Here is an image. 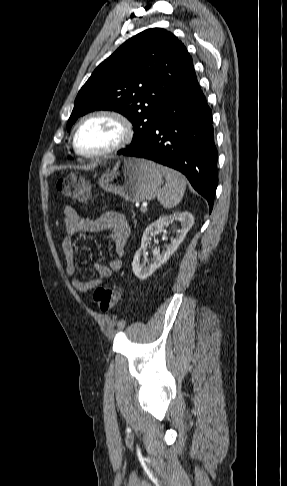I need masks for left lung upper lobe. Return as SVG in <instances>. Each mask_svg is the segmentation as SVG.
<instances>
[{
    "mask_svg": "<svg viewBox=\"0 0 287 486\" xmlns=\"http://www.w3.org/2000/svg\"><path fill=\"white\" fill-rule=\"evenodd\" d=\"M194 74L192 58L182 42L164 29H147L128 39L94 70L75 99L67 129L88 112L114 110L133 124L129 147L133 148L173 93Z\"/></svg>",
    "mask_w": 287,
    "mask_h": 486,
    "instance_id": "obj_1",
    "label": "left lung upper lobe"
}]
</instances>
